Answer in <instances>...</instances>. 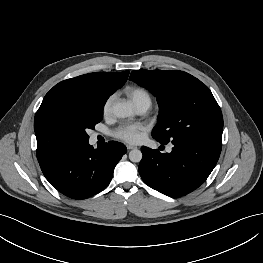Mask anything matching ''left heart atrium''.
<instances>
[{
  "label": "left heart atrium",
  "mask_w": 263,
  "mask_h": 263,
  "mask_svg": "<svg viewBox=\"0 0 263 263\" xmlns=\"http://www.w3.org/2000/svg\"><path fill=\"white\" fill-rule=\"evenodd\" d=\"M143 126L139 124H125L114 131V136L128 143H136L141 137Z\"/></svg>",
  "instance_id": "39dd6f15"
}]
</instances>
